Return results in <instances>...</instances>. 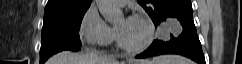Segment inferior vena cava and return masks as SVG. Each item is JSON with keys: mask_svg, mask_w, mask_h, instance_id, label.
<instances>
[{"mask_svg": "<svg viewBox=\"0 0 242 64\" xmlns=\"http://www.w3.org/2000/svg\"><path fill=\"white\" fill-rule=\"evenodd\" d=\"M102 58H103V59H108V58L106 57V55H102Z\"/></svg>", "mask_w": 242, "mask_h": 64, "instance_id": "602c4592", "label": "inferior vena cava"}]
</instances>
